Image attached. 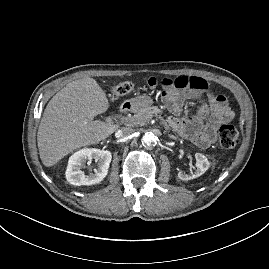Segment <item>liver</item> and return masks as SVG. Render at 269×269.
Instances as JSON below:
<instances>
[{
  "label": "liver",
  "instance_id": "liver-1",
  "mask_svg": "<svg viewBox=\"0 0 269 269\" xmlns=\"http://www.w3.org/2000/svg\"><path fill=\"white\" fill-rule=\"evenodd\" d=\"M109 108L105 91L95 79L68 83L47 104L37 133L39 155L46 167L81 147L96 144L118 129L111 122L94 121Z\"/></svg>",
  "mask_w": 269,
  "mask_h": 269
}]
</instances>
